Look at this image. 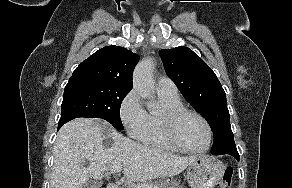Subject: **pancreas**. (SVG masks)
Returning a JSON list of instances; mask_svg holds the SVG:
<instances>
[{"label": "pancreas", "mask_w": 292, "mask_h": 188, "mask_svg": "<svg viewBox=\"0 0 292 188\" xmlns=\"http://www.w3.org/2000/svg\"><path fill=\"white\" fill-rule=\"evenodd\" d=\"M140 185L151 186L156 188H184L183 185L180 184V181L175 179L161 178L156 181H149ZM129 188H137V186H132Z\"/></svg>", "instance_id": "obj_1"}]
</instances>
